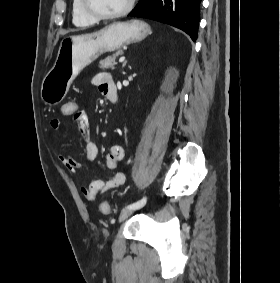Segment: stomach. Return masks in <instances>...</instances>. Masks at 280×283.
Returning a JSON list of instances; mask_svg holds the SVG:
<instances>
[{
	"mask_svg": "<svg viewBox=\"0 0 280 283\" xmlns=\"http://www.w3.org/2000/svg\"><path fill=\"white\" fill-rule=\"evenodd\" d=\"M150 32L146 22L133 19L111 23L95 32L63 38L56 61L42 81V101L47 105L60 103L73 80L86 66L104 53L145 39Z\"/></svg>",
	"mask_w": 280,
	"mask_h": 283,
	"instance_id": "0dacf381",
	"label": "stomach"
}]
</instances>
